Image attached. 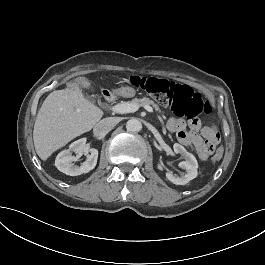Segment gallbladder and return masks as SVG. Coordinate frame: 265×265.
<instances>
[{
  "instance_id": "1",
  "label": "gallbladder",
  "mask_w": 265,
  "mask_h": 265,
  "mask_svg": "<svg viewBox=\"0 0 265 265\" xmlns=\"http://www.w3.org/2000/svg\"><path fill=\"white\" fill-rule=\"evenodd\" d=\"M77 82L80 85H83V84L87 85V87H89V90H92V85L91 84H88V82H86L85 77H83V76L78 77ZM87 99H89V97H87Z\"/></svg>"
}]
</instances>
